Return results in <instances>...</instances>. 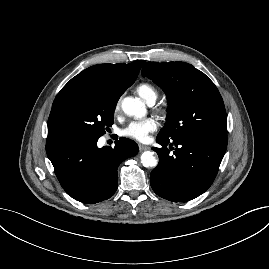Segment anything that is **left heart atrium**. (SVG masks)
Instances as JSON below:
<instances>
[{
  "mask_svg": "<svg viewBox=\"0 0 269 269\" xmlns=\"http://www.w3.org/2000/svg\"><path fill=\"white\" fill-rule=\"evenodd\" d=\"M158 122L153 118H146L130 122L122 131L125 137L144 142L149 135L156 131Z\"/></svg>",
  "mask_w": 269,
  "mask_h": 269,
  "instance_id": "obj_1",
  "label": "left heart atrium"
}]
</instances>
